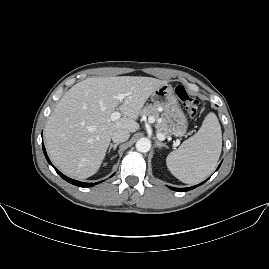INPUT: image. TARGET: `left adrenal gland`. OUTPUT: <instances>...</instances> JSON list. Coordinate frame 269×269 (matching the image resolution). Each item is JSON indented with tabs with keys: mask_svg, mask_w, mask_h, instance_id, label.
<instances>
[{
	"mask_svg": "<svg viewBox=\"0 0 269 269\" xmlns=\"http://www.w3.org/2000/svg\"><path fill=\"white\" fill-rule=\"evenodd\" d=\"M155 145L158 147V148H161V147H167V145L165 143H162L161 141H159L158 139L155 140Z\"/></svg>",
	"mask_w": 269,
	"mask_h": 269,
	"instance_id": "1",
	"label": "left adrenal gland"
}]
</instances>
